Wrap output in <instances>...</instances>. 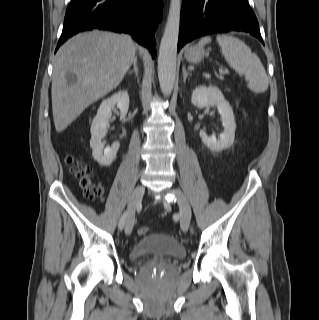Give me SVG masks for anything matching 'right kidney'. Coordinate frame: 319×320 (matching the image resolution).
<instances>
[{"mask_svg": "<svg viewBox=\"0 0 319 320\" xmlns=\"http://www.w3.org/2000/svg\"><path fill=\"white\" fill-rule=\"evenodd\" d=\"M115 106L120 110L122 116L127 114L129 108L127 91H119L103 100L91 124L90 147L92 148V156L102 166H110L112 164L120 146L119 142H115L111 147L104 149L102 144V138L105 136L108 121Z\"/></svg>", "mask_w": 319, "mask_h": 320, "instance_id": "1", "label": "right kidney"}]
</instances>
